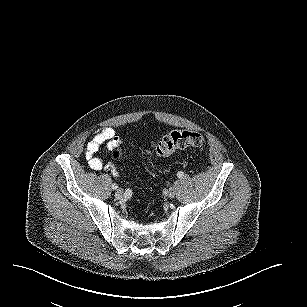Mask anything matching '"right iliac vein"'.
Wrapping results in <instances>:
<instances>
[{
    "label": "right iliac vein",
    "instance_id": "1",
    "mask_svg": "<svg viewBox=\"0 0 307 307\" xmlns=\"http://www.w3.org/2000/svg\"><path fill=\"white\" fill-rule=\"evenodd\" d=\"M124 196V193H123V190L122 189H118L116 192H115V197L117 199H122Z\"/></svg>",
    "mask_w": 307,
    "mask_h": 307
}]
</instances>
